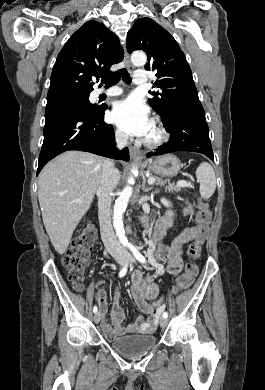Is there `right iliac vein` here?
<instances>
[{
	"label": "right iliac vein",
	"instance_id": "obj_1",
	"mask_svg": "<svg viewBox=\"0 0 265 390\" xmlns=\"http://www.w3.org/2000/svg\"><path fill=\"white\" fill-rule=\"evenodd\" d=\"M115 260H116V262L119 264V265H123L124 264V257H122V256H116L115 257ZM100 318H101V314H100V312H96L95 314H94V321H95V323H99V321H100Z\"/></svg>",
	"mask_w": 265,
	"mask_h": 390
}]
</instances>
